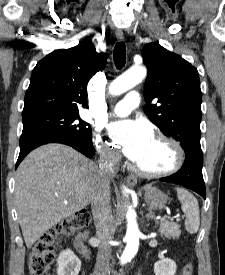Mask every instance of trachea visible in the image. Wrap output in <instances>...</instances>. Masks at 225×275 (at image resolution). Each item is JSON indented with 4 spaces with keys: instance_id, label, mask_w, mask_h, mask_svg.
<instances>
[{
    "instance_id": "3493384b",
    "label": "trachea",
    "mask_w": 225,
    "mask_h": 275,
    "mask_svg": "<svg viewBox=\"0 0 225 275\" xmlns=\"http://www.w3.org/2000/svg\"><path fill=\"white\" fill-rule=\"evenodd\" d=\"M113 58L117 69L124 67L126 63V47L124 42H119L115 45Z\"/></svg>"
}]
</instances>
